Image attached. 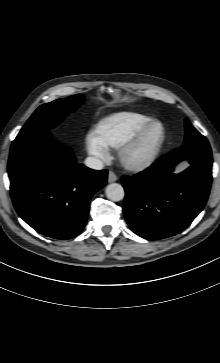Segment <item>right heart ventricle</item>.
<instances>
[{
	"label": "right heart ventricle",
	"mask_w": 220,
	"mask_h": 363,
	"mask_svg": "<svg viewBox=\"0 0 220 363\" xmlns=\"http://www.w3.org/2000/svg\"><path fill=\"white\" fill-rule=\"evenodd\" d=\"M152 117L131 111L112 114L97 126L98 136L111 148L120 147L141 128L152 122Z\"/></svg>",
	"instance_id": "obj_1"
}]
</instances>
